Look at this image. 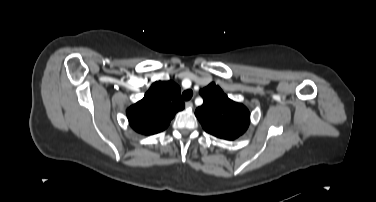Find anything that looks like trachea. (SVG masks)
<instances>
[{"label": "trachea", "instance_id": "obj_1", "mask_svg": "<svg viewBox=\"0 0 376 202\" xmlns=\"http://www.w3.org/2000/svg\"><path fill=\"white\" fill-rule=\"evenodd\" d=\"M193 92L191 90H186L182 93V99L184 101H188L192 98Z\"/></svg>", "mask_w": 376, "mask_h": 202}]
</instances>
